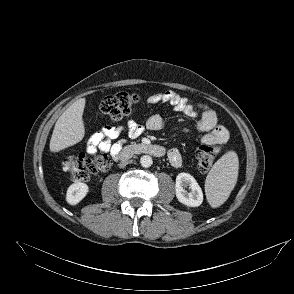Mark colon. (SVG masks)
<instances>
[{
  "label": "colon",
  "instance_id": "obj_1",
  "mask_svg": "<svg viewBox=\"0 0 294 294\" xmlns=\"http://www.w3.org/2000/svg\"><path fill=\"white\" fill-rule=\"evenodd\" d=\"M139 97L136 94L117 92L107 96L100 104V113L114 119L129 115L135 111ZM215 149L212 145L204 144L196 151L197 167L202 173L208 172L215 159ZM110 166L109 158L99 154L94 158L84 154H71L64 158L63 168L72 181H84L91 175L104 171Z\"/></svg>",
  "mask_w": 294,
  "mask_h": 294
}]
</instances>
